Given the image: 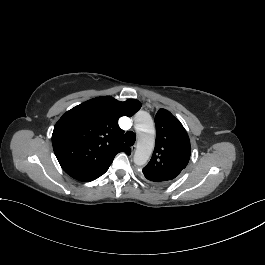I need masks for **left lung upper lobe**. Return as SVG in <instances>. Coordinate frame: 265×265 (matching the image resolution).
Wrapping results in <instances>:
<instances>
[{
	"label": "left lung upper lobe",
	"mask_w": 265,
	"mask_h": 265,
	"mask_svg": "<svg viewBox=\"0 0 265 265\" xmlns=\"http://www.w3.org/2000/svg\"><path fill=\"white\" fill-rule=\"evenodd\" d=\"M156 145L150 162L143 168L144 177L157 185H164L187 166L190 159V140L179 120L166 109L155 116Z\"/></svg>",
	"instance_id": "obj_1"
}]
</instances>
